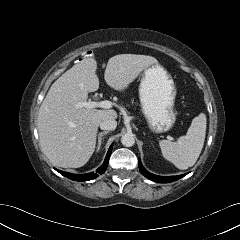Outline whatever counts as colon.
<instances>
[{
    "instance_id": "5ec220e1",
    "label": "colon",
    "mask_w": 240,
    "mask_h": 240,
    "mask_svg": "<svg viewBox=\"0 0 240 240\" xmlns=\"http://www.w3.org/2000/svg\"><path fill=\"white\" fill-rule=\"evenodd\" d=\"M90 54H91V51L86 52V55H90Z\"/></svg>"
}]
</instances>
